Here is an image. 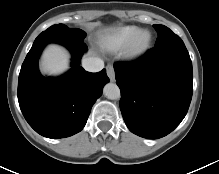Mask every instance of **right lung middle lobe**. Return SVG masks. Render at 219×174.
I'll return each instance as SVG.
<instances>
[{"instance_id": "right-lung-middle-lobe-1", "label": "right lung middle lobe", "mask_w": 219, "mask_h": 174, "mask_svg": "<svg viewBox=\"0 0 219 174\" xmlns=\"http://www.w3.org/2000/svg\"><path fill=\"white\" fill-rule=\"evenodd\" d=\"M86 33L78 28H68L64 24H56L43 31L35 39L32 48L45 45L50 42L69 43L83 42ZM31 48V49H32Z\"/></svg>"}]
</instances>
